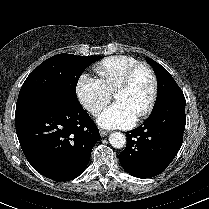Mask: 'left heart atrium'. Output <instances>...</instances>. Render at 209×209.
<instances>
[{
    "instance_id": "left-heart-atrium-1",
    "label": "left heart atrium",
    "mask_w": 209,
    "mask_h": 209,
    "mask_svg": "<svg viewBox=\"0 0 209 209\" xmlns=\"http://www.w3.org/2000/svg\"><path fill=\"white\" fill-rule=\"evenodd\" d=\"M137 115L123 101H116L104 109L97 122L104 128H127L136 121Z\"/></svg>"
}]
</instances>
